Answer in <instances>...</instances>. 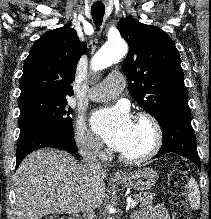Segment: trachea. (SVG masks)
Returning a JSON list of instances; mask_svg holds the SVG:
<instances>
[{
  "mask_svg": "<svg viewBox=\"0 0 211 219\" xmlns=\"http://www.w3.org/2000/svg\"><path fill=\"white\" fill-rule=\"evenodd\" d=\"M91 14L92 18L94 21L95 26L99 30L100 26L102 25L103 22V17L105 14V6L102 4L99 5H93L91 7Z\"/></svg>",
  "mask_w": 211,
  "mask_h": 219,
  "instance_id": "3493384b",
  "label": "trachea"
}]
</instances>
